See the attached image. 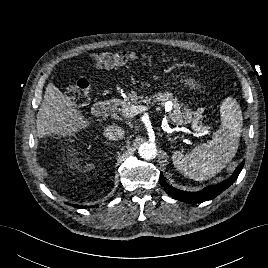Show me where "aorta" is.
<instances>
[{"label": "aorta", "mask_w": 268, "mask_h": 268, "mask_svg": "<svg viewBox=\"0 0 268 268\" xmlns=\"http://www.w3.org/2000/svg\"><path fill=\"white\" fill-rule=\"evenodd\" d=\"M138 153L145 160H152L157 155L156 145L152 142H144L139 146Z\"/></svg>", "instance_id": "1"}]
</instances>
